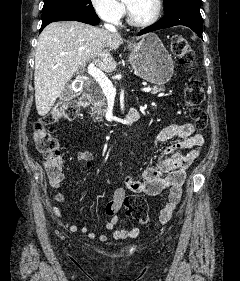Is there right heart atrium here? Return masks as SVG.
<instances>
[{"mask_svg": "<svg viewBox=\"0 0 240 281\" xmlns=\"http://www.w3.org/2000/svg\"><path fill=\"white\" fill-rule=\"evenodd\" d=\"M94 12L105 22L117 24L125 14L120 0H90Z\"/></svg>", "mask_w": 240, "mask_h": 281, "instance_id": "obj_1", "label": "right heart atrium"}]
</instances>
